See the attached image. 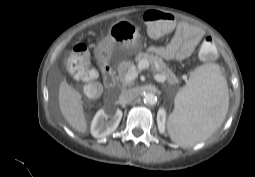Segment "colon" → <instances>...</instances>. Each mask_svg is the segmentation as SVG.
Here are the masks:
<instances>
[{"mask_svg": "<svg viewBox=\"0 0 255 177\" xmlns=\"http://www.w3.org/2000/svg\"><path fill=\"white\" fill-rule=\"evenodd\" d=\"M150 36L158 38L169 32L174 24L173 15L156 10H149L144 14ZM200 56L205 60H213L217 56L216 44L212 37H206L199 49ZM64 66L68 72L85 82V92L90 97L99 93V85L96 82L97 72L90 63V56L85 45L79 44L74 47L66 58Z\"/></svg>", "mask_w": 255, "mask_h": 177, "instance_id": "5ec220e1", "label": "colon"}]
</instances>
